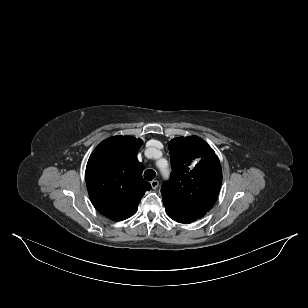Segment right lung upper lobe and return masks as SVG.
Here are the masks:
<instances>
[{
    "label": "right lung upper lobe",
    "instance_id": "1",
    "mask_svg": "<svg viewBox=\"0 0 308 308\" xmlns=\"http://www.w3.org/2000/svg\"><path fill=\"white\" fill-rule=\"evenodd\" d=\"M141 139L113 136L101 142L89 157L86 185L94 207L104 216L121 221L133 215L151 185L142 178L137 160Z\"/></svg>",
    "mask_w": 308,
    "mask_h": 308
}]
</instances>
